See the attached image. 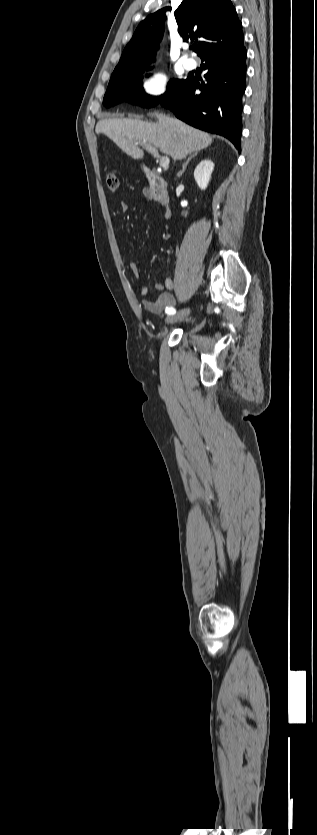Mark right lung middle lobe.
<instances>
[{"mask_svg": "<svg viewBox=\"0 0 317 835\" xmlns=\"http://www.w3.org/2000/svg\"><path fill=\"white\" fill-rule=\"evenodd\" d=\"M143 71L144 70H114L103 99V105L108 108L121 102H129L142 107L150 108L157 105L163 98L172 94L190 80L189 77L186 80H171L168 83V89L164 95L152 98L144 92L142 82H140V79L143 78L141 75V72Z\"/></svg>", "mask_w": 317, "mask_h": 835, "instance_id": "right-lung-middle-lobe-1", "label": "right lung middle lobe"}]
</instances>
